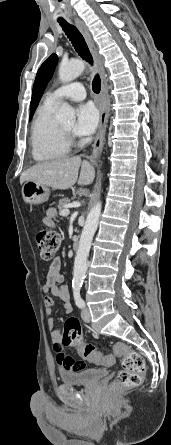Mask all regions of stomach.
<instances>
[{"label":"stomach","instance_id":"0dacf381","mask_svg":"<svg viewBox=\"0 0 171 445\" xmlns=\"http://www.w3.org/2000/svg\"><path fill=\"white\" fill-rule=\"evenodd\" d=\"M50 189L46 185L26 181L22 186L23 200L29 205H36L48 200Z\"/></svg>","mask_w":171,"mask_h":445}]
</instances>
